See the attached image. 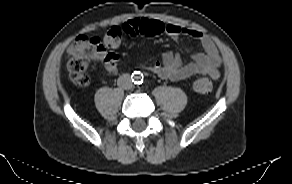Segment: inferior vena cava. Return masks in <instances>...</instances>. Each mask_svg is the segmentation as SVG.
<instances>
[{
    "label": "inferior vena cava",
    "instance_id": "inferior-vena-cava-1",
    "mask_svg": "<svg viewBox=\"0 0 292 184\" xmlns=\"http://www.w3.org/2000/svg\"><path fill=\"white\" fill-rule=\"evenodd\" d=\"M117 85L125 90L131 89L133 86V83L131 81L130 75L123 74L122 76H120L117 80Z\"/></svg>",
    "mask_w": 292,
    "mask_h": 184
}]
</instances>
